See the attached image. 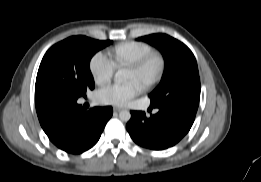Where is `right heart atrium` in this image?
Listing matches in <instances>:
<instances>
[{
  "instance_id": "right-heart-atrium-1",
  "label": "right heart atrium",
  "mask_w": 261,
  "mask_h": 182,
  "mask_svg": "<svg viewBox=\"0 0 261 182\" xmlns=\"http://www.w3.org/2000/svg\"><path fill=\"white\" fill-rule=\"evenodd\" d=\"M89 70L94 82L103 86L111 81L115 66L105 53L98 52L91 58Z\"/></svg>"
}]
</instances>
